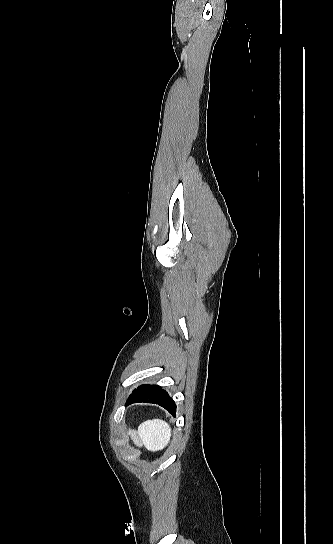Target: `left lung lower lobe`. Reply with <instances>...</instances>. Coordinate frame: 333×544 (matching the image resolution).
Wrapping results in <instances>:
<instances>
[{
  "instance_id": "0a47b994",
  "label": "left lung lower lobe",
  "mask_w": 333,
  "mask_h": 544,
  "mask_svg": "<svg viewBox=\"0 0 333 544\" xmlns=\"http://www.w3.org/2000/svg\"><path fill=\"white\" fill-rule=\"evenodd\" d=\"M137 402L155 403L164 407L173 416L176 415L175 402L160 386L144 384L133 390L126 405Z\"/></svg>"
}]
</instances>
